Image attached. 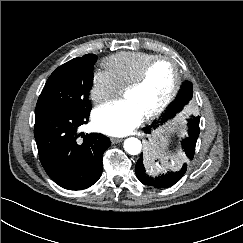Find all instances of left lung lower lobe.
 <instances>
[{"mask_svg": "<svg viewBox=\"0 0 243 243\" xmlns=\"http://www.w3.org/2000/svg\"><path fill=\"white\" fill-rule=\"evenodd\" d=\"M188 101H177L173 106V113L169 117H173L176 113L181 111ZM168 118V119H169ZM199 117H193L189 120V130L188 137L182 141V149L186 156L192 160L195 153V146L199 136ZM154 127V124L152 125ZM155 128V127H154ZM151 128H145L146 133H151ZM187 170V164L184 163L179 171H169L166 174H162L158 177H151L147 174L146 169L143 164V156L140 155L135 167V173L137 178L145 185L153 186L155 188H166L174 185L180 178L184 175Z\"/></svg>", "mask_w": 243, "mask_h": 243, "instance_id": "left-lung-lower-lobe-1", "label": "left lung lower lobe"}]
</instances>
